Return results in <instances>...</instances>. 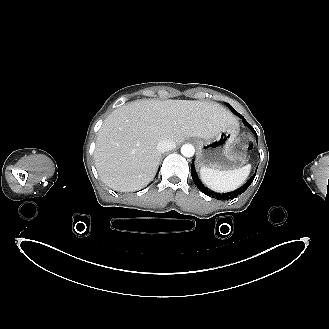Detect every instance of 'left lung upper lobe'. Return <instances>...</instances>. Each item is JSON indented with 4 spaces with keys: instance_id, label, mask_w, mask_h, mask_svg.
<instances>
[{
    "instance_id": "5c2ea615",
    "label": "left lung upper lobe",
    "mask_w": 329,
    "mask_h": 329,
    "mask_svg": "<svg viewBox=\"0 0 329 329\" xmlns=\"http://www.w3.org/2000/svg\"><path fill=\"white\" fill-rule=\"evenodd\" d=\"M229 105V104H228ZM229 107H230V109L238 116V117H242V115L241 114H239L236 110H234V108L231 106V105H229Z\"/></svg>"
}]
</instances>
